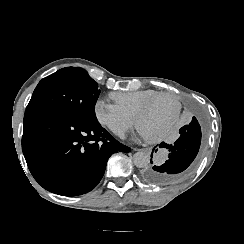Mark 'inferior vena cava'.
I'll return each instance as SVG.
<instances>
[{"mask_svg": "<svg viewBox=\"0 0 244 244\" xmlns=\"http://www.w3.org/2000/svg\"><path fill=\"white\" fill-rule=\"evenodd\" d=\"M118 136L121 138V139H125V133L124 132H120L118 134Z\"/></svg>", "mask_w": 244, "mask_h": 244, "instance_id": "1", "label": "inferior vena cava"}]
</instances>
